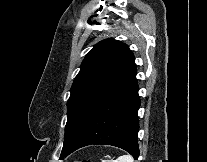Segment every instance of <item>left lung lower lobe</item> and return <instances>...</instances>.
Instances as JSON below:
<instances>
[{"instance_id":"left-lung-lower-lobe-1","label":"left lung lower lobe","mask_w":207,"mask_h":162,"mask_svg":"<svg viewBox=\"0 0 207 162\" xmlns=\"http://www.w3.org/2000/svg\"><path fill=\"white\" fill-rule=\"evenodd\" d=\"M138 90L135 73L98 107L73 145L60 159L63 160L65 156L87 145H113L126 150L137 160L140 107Z\"/></svg>"}]
</instances>
